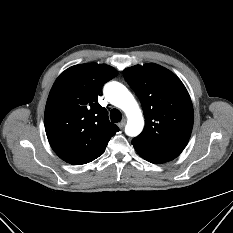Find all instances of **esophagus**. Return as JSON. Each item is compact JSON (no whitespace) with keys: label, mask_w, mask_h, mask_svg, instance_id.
Segmentation results:
<instances>
[{"label":"esophagus","mask_w":233,"mask_h":233,"mask_svg":"<svg viewBox=\"0 0 233 233\" xmlns=\"http://www.w3.org/2000/svg\"><path fill=\"white\" fill-rule=\"evenodd\" d=\"M125 124H126V120L124 119V120H122L121 122L118 123V127H119L120 129H123L124 126H125Z\"/></svg>","instance_id":"1"}]
</instances>
